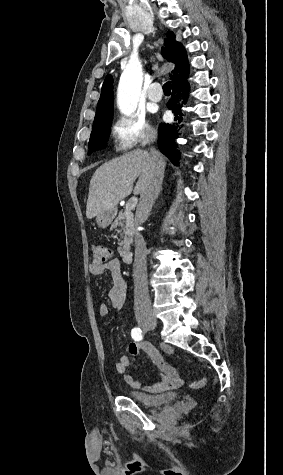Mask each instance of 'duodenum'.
<instances>
[{
    "label": "duodenum",
    "instance_id": "410a0bca",
    "mask_svg": "<svg viewBox=\"0 0 283 475\" xmlns=\"http://www.w3.org/2000/svg\"><path fill=\"white\" fill-rule=\"evenodd\" d=\"M121 257L124 263H130L132 261V252L125 250L122 252Z\"/></svg>",
    "mask_w": 283,
    "mask_h": 475
}]
</instances>
